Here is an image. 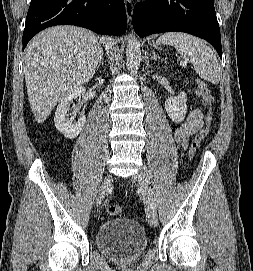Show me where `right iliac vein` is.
Masks as SVG:
<instances>
[{
  "label": "right iliac vein",
  "instance_id": "obj_1",
  "mask_svg": "<svg viewBox=\"0 0 253 271\" xmlns=\"http://www.w3.org/2000/svg\"><path fill=\"white\" fill-rule=\"evenodd\" d=\"M112 176L107 175L100 187L99 194H98V200H97V205H100L104 199L105 192L110 188L112 185Z\"/></svg>",
  "mask_w": 253,
  "mask_h": 271
}]
</instances>
